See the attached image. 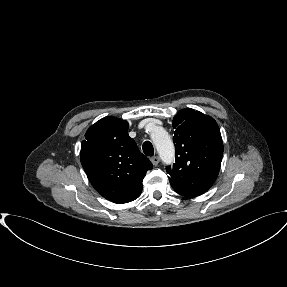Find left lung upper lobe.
Instances as JSON below:
<instances>
[{
	"label": "left lung upper lobe",
	"mask_w": 287,
	"mask_h": 287,
	"mask_svg": "<svg viewBox=\"0 0 287 287\" xmlns=\"http://www.w3.org/2000/svg\"><path fill=\"white\" fill-rule=\"evenodd\" d=\"M176 160L166 171L174 190L186 197L205 193L215 182L223 155L216 121L190 108L173 118Z\"/></svg>",
	"instance_id": "1"
}]
</instances>
